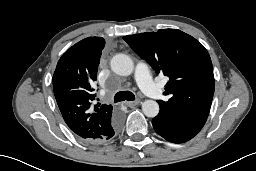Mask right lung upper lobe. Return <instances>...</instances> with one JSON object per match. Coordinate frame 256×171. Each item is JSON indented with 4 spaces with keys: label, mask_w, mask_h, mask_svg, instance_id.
<instances>
[{
    "label": "right lung upper lobe",
    "mask_w": 256,
    "mask_h": 171,
    "mask_svg": "<svg viewBox=\"0 0 256 171\" xmlns=\"http://www.w3.org/2000/svg\"><path fill=\"white\" fill-rule=\"evenodd\" d=\"M104 46L102 37L81 40L61 56L53 75L54 94L64 121L88 142L105 140L116 115L111 105L93 104V83Z\"/></svg>",
    "instance_id": "cb5924a9"
}]
</instances>
